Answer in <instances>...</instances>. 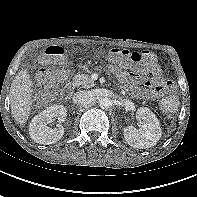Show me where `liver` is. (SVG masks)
I'll list each match as a JSON object with an SVG mask.
<instances>
[{"label":"liver","instance_id":"liver-1","mask_svg":"<svg viewBox=\"0 0 197 197\" xmlns=\"http://www.w3.org/2000/svg\"><path fill=\"white\" fill-rule=\"evenodd\" d=\"M32 81L26 69L15 76L10 87L11 114L14 120L23 125L27 122L32 106Z\"/></svg>","mask_w":197,"mask_h":197}]
</instances>
